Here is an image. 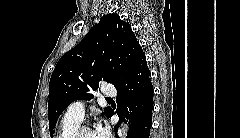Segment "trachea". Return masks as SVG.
<instances>
[{"instance_id": "3493384b", "label": "trachea", "mask_w": 240, "mask_h": 138, "mask_svg": "<svg viewBox=\"0 0 240 138\" xmlns=\"http://www.w3.org/2000/svg\"><path fill=\"white\" fill-rule=\"evenodd\" d=\"M107 101H112V99L111 98H107Z\"/></svg>"}]
</instances>
